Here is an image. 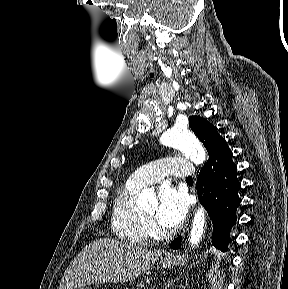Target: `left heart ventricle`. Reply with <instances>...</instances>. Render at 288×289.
<instances>
[{"label": "left heart ventricle", "instance_id": "b2bd125f", "mask_svg": "<svg viewBox=\"0 0 288 289\" xmlns=\"http://www.w3.org/2000/svg\"><path fill=\"white\" fill-rule=\"evenodd\" d=\"M156 207L151 208L150 210L146 211L145 214L149 217L153 216L155 214Z\"/></svg>", "mask_w": 288, "mask_h": 289}]
</instances>
